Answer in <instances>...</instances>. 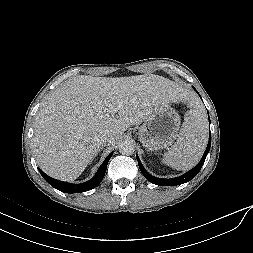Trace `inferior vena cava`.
I'll list each match as a JSON object with an SVG mask.
<instances>
[{
    "instance_id": "obj_1",
    "label": "inferior vena cava",
    "mask_w": 253,
    "mask_h": 253,
    "mask_svg": "<svg viewBox=\"0 0 253 253\" xmlns=\"http://www.w3.org/2000/svg\"><path fill=\"white\" fill-rule=\"evenodd\" d=\"M99 141L102 146H107V145H110L114 141V137L110 132L105 131L101 133L99 137Z\"/></svg>"
}]
</instances>
